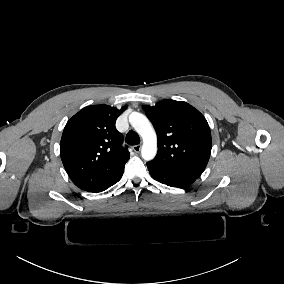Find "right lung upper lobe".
<instances>
[{"instance_id":"cb5924a9","label":"right lung upper lobe","mask_w":284,"mask_h":284,"mask_svg":"<svg viewBox=\"0 0 284 284\" xmlns=\"http://www.w3.org/2000/svg\"><path fill=\"white\" fill-rule=\"evenodd\" d=\"M125 109L91 105L67 122L60 156L69 177L80 189L97 192L124 170L130 154L122 147L123 136L115 122Z\"/></svg>"}]
</instances>
